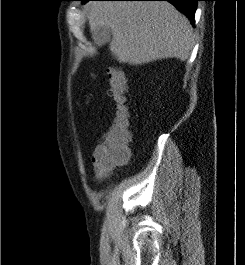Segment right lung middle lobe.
Returning a JSON list of instances; mask_svg holds the SVG:
<instances>
[{
  "label": "right lung middle lobe",
  "mask_w": 245,
  "mask_h": 265,
  "mask_svg": "<svg viewBox=\"0 0 245 265\" xmlns=\"http://www.w3.org/2000/svg\"><path fill=\"white\" fill-rule=\"evenodd\" d=\"M80 1H82L83 3H86L88 0H80Z\"/></svg>",
  "instance_id": "dd1d6c3e"
}]
</instances>
